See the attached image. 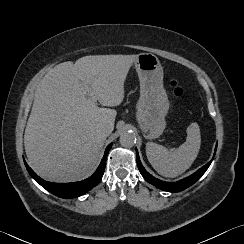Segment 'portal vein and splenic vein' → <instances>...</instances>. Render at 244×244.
Wrapping results in <instances>:
<instances>
[{"mask_svg":"<svg viewBox=\"0 0 244 244\" xmlns=\"http://www.w3.org/2000/svg\"><path fill=\"white\" fill-rule=\"evenodd\" d=\"M84 89H85L86 94H88L89 97H90L92 100H95V96H96V94H95V92L92 90V88H91L89 85L84 84Z\"/></svg>","mask_w":244,"mask_h":244,"instance_id":"18ae733b","label":"portal vein and splenic vein"}]
</instances>
